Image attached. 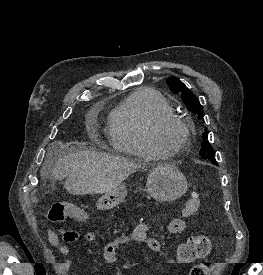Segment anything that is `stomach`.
Masks as SVG:
<instances>
[{
  "instance_id": "0dacf381",
  "label": "stomach",
  "mask_w": 263,
  "mask_h": 275,
  "mask_svg": "<svg viewBox=\"0 0 263 275\" xmlns=\"http://www.w3.org/2000/svg\"><path fill=\"white\" fill-rule=\"evenodd\" d=\"M148 193L157 201L170 202L180 198L188 189L185 176L175 167L164 165L151 170L146 183ZM127 195L126 186L105 193L96 203L100 210L111 209L124 201Z\"/></svg>"
}]
</instances>
